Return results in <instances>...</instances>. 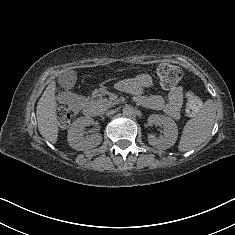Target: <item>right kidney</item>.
<instances>
[{
	"mask_svg": "<svg viewBox=\"0 0 235 235\" xmlns=\"http://www.w3.org/2000/svg\"><path fill=\"white\" fill-rule=\"evenodd\" d=\"M89 121L84 119H77L71 127L68 134V142L71 147L77 150H84L97 146L101 141L99 133L85 136V127Z\"/></svg>",
	"mask_w": 235,
	"mask_h": 235,
	"instance_id": "obj_1",
	"label": "right kidney"
}]
</instances>
